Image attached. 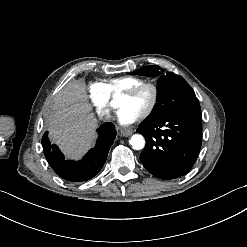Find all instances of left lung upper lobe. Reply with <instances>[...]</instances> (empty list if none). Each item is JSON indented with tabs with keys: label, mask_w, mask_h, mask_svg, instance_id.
Here are the masks:
<instances>
[{
	"label": "left lung upper lobe",
	"mask_w": 247,
	"mask_h": 247,
	"mask_svg": "<svg viewBox=\"0 0 247 247\" xmlns=\"http://www.w3.org/2000/svg\"><path fill=\"white\" fill-rule=\"evenodd\" d=\"M160 67L150 65L132 72L133 75L157 76ZM186 112L201 116L199 101L191 86L181 76L169 72L158 80L157 102L143 122H154L167 115Z\"/></svg>",
	"instance_id": "5c2ea615"
}]
</instances>
